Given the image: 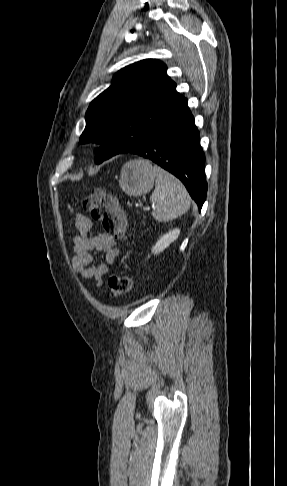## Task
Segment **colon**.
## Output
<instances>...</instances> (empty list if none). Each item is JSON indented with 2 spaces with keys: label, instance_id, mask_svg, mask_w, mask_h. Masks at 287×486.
Here are the masks:
<instances>
[{
  "label": "colon",
  "instance_id": "obj_1",
  "mask_svg": "<svg viewBox=\"0 0 287 486\" xmlns=\"http://www.w3.org/2000/svg\"><path fill=\"white\" fill-rule=\"evenodd\" d=\"M83 206L94 220L101 223L105 234L116 239L125 236L127 220L115 197L108 195L102 188H94L83 198ZM131 286L132 280L127 275L114 274L108 280L112 297L124 295Z\"/></svg>",
  "mask_w": 287,
  "mask_h": 486
}]
</instances>
